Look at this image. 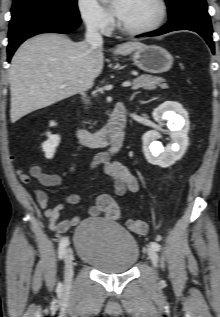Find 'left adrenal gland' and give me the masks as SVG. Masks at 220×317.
<instances>
[{
  "label": "left adrenal gland",
  "mask_w": 220,
  "mask_h": 317,
  "mask_svg": "<svg viewBox=\"0 0 220 317\" xmlns=\"http://www.w3.org/2000/svg\"><path fill=\"white\" fill-rule=\"evenodd\" d=\"M137 93H138V92H135V93H133V94L131 95L130 101H132V100L134 99V97L136 96Z\"/></svg>",
  "instance_id": "a2214340"
}]
</instances>
